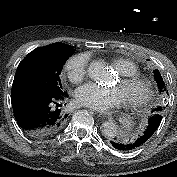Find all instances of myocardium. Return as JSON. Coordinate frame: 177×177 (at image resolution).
Wrapping results in <instances>:
<instances>
[{
    "instance_id": "1",
    "label": "myocardium",
    "mask_w": 177,
    "mask_h": 177,
    "mask_svg": "<svg viewBox=\"0 0 177 177\" xmlns=\"http://www.w3.org/2000/svg\"><path fill=\"white\" fill-rule=\"evenodd\" d=\"M120 81L126 85L138 86L141 89L140 95L126 98V103L131 107L142 106L152 96V84L142 75L136 74L131 76H121Z\"/></svg>"
}]
</instances>
